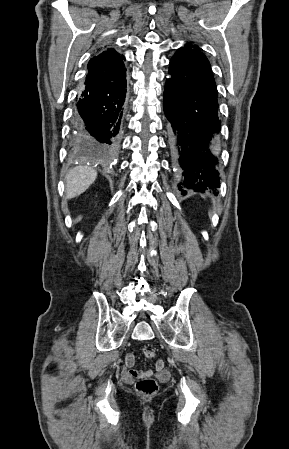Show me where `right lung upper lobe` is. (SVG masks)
<instances>
[{
    "instance_id": "obj_1",
    "label": "right lung upper lobe",
    "mask_w": 289,
    "mask_h": 449,
    "mask_svg": "<svg viewBox=\"0 0 289 449\" xmlns=\"http://www.w3.org/2000/svg\"><path fill=\"white\" fill-rule=\"evenodd\" d=\"M123 55H119L113 49H107L100 53L98 56H94L88 62V71H105L107 69L119 66L123 64Z\"/></svg>"
}]
</instances>
